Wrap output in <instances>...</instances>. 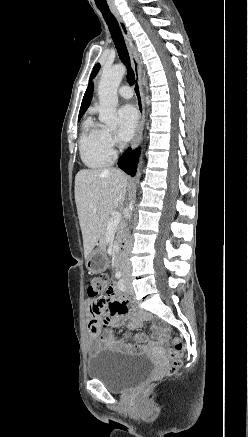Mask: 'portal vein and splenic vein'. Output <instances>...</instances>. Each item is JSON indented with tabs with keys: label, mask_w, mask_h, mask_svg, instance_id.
I'll use <instances>...</instances> for the list:
<instances>
[{
	"label": "portal vein and splenic vein",
	"mask_w": 248,
	"mask_h": 437,
	"mask_svg": "<svg viewBox=\"0 0 248 437\" xmlns=\"http://www.w3.org/2000/svg\"><path fill=\"white\" fill-rule=\"evenodd\" d=\"M120 220H121V214L120 213L114 214L112 218L108 221L107 229L112 230L117 228V226L120 223Z\"/></svg>",
	"instance_id": "1"
}]
</instances>
